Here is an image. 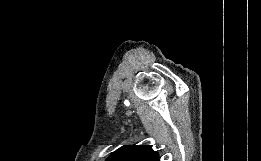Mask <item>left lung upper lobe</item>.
<instances>
[{
    "label": "left lung upper lobe",
    "mask_w": 261,
    "mask_h": 161,
    "mask_svg": "<svg viewBox=\"0 0 261 161\" xmlns=\"http://www.w3.org/2000/svg\"><path fill=\"white\" fill-rule=\"evenodd\" d=\"M106 161H158V153L148 145H124Z\"/></svg>",
    "instance_id": "left-lung-upper-lobe-1"
}]
</instances>
